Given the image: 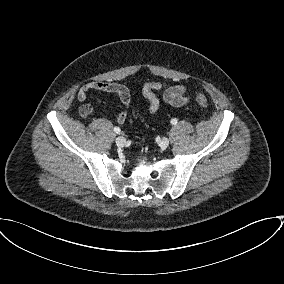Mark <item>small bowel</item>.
<instances>
[{
    "label": "small bowel",
    "mask_w": 284,
    "mask_h": 284,
    "mask_svg": "<svg viewBox=\"0 0 284 284\" xmlns=\"http://www.w3.org/2000/svg\"><path fill=\"white\" fill-rule=\"evenodd\" d=\"M142 95L148 101L146 112L150 115L157 113L161 107V99L157 96V91H163V101L172 107H182L190 101V96L185 85L169 86L165 82L150 81L142 86ZM90 91H99L116 94L121 102V109L117 116V122H125L130 107L131 94L127 86L119 83H108L103 81H91L84 84L78 91L77 97L83 104L79 113L83 118L88 117L93 112V106L86 103Z\"/></svg>",
    "instance_id": "small-bowel-1"
}]
</instances>
